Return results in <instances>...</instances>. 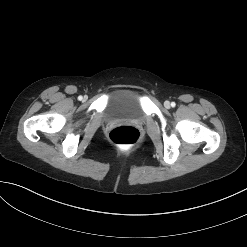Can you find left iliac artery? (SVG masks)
<instances>
[{
  "label": "left iliac artery",
  "mask_w": 247,
  "mask_h": 247,
  "mask_svg": "<svg viewBox=\"0 0 247 247\" xmlns=\"http://www.w3.org/2000/svg\"><path fill=\"white\" fill-rule=\"evenodd\" d=\"M175 105H176L175 102H172V103H171V106H172V107H175Z\"/></svg>",
  "instance_id": "left-iliac-artery-1"
}]
</instances>
